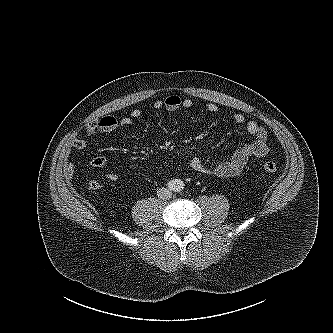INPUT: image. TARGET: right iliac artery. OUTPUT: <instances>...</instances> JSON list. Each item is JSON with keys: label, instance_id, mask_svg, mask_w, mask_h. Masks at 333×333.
Instances as JSON below:
<instances>
[{"label": "right iliac artery", "instance_id": "82829eb1", "mask_svg": "<svg viewBox=\"0 0 333 333\" xmlns=\"http://www.w3.org/2000/svg\"><path fill=\"white\" fill-rule=\"evenodd\" d=\"M167 185H168V187H169L170 189H172L173 186H174V183H173V182H169Z\"/></svg>", "mask_w": 333, "mask_h": 333}]
</instances>
